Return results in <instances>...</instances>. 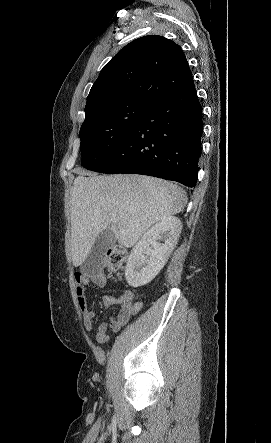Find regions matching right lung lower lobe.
I'll return each instance as SVG.
<instances>
[{
	"mask_svg": "<svg viewBox=\"0 0 271 443\" xmlns=\"http://www.w3.org/2000/svg\"><path fill=\"white\" fill-rule=\"evenodd\" d=\"M203 132L194 84L154 100L114 154L96 172L135 173L194 187Z\"/></svg>",
	"mask_w": 271,
	"mask_h": 443,
	"instance_id": "right-lung-lower-lobe-1",
	"label": "right lung lower lobe"
}]
</instances>
